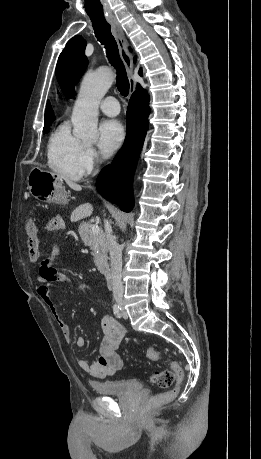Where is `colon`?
<instances>
[{
	"label": "colon",
	"mask_w": 261,
	"mask_h": 459,
	"mask_svg": "<svg viewBox=\"0 0 261 459\" xmlns=\"http://www.w3.org/2000/svg\"><path fill=\"white\" fill-rule=\"evenodd\" d=\"M26 226L19 228V235L26 236L28 240L26 242V249L29 251V259L31 261H43L46 258V255L40 247L42 242L40 241L41 236L40 229L37 226L36 222H32L30 217L25 219ZM147 357L150 360H158L160 358V353L155 348H148L146 352ZM183 380V370L178 363H172L171 370H162L155 371L151 375V381L161 388H169L172 385L175 387L167 392L155 395L150 397L149 405L156 406L167 401L172 400L177 392L179 385Z\"/></svg>",
	"instance_id": "colon-1"
}]
</instances>
